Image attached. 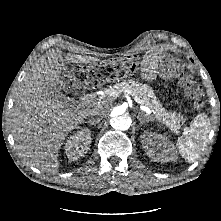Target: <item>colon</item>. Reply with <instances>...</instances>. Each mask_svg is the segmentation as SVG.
<instances>
[{"mask_svg":"<svg viewBox=\"0 0 221 221\" xmlns=\"http://www.w3.org/2000/svg\"><path fill=\"white\" fill-rule=\"evenodd\" d=\"M137 65L131 70H125L126 73H132L137 70ZM117 69L108 64L104 66H80L72 69L69 78V85L72 89L76 90L87 83H97L105 81L111 78ZM159 72L162 75H171L177 73L179 83L184 88L186 95L193 100L197 105H201V87L192 79V77L183 72L181 69H177L172 65L170 61H164L159 66Z\"/></svg>","mask_w":221,"mask_h":221,"instance_id":"colon-1","label":"colon"}]
</instances>
